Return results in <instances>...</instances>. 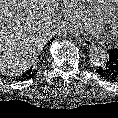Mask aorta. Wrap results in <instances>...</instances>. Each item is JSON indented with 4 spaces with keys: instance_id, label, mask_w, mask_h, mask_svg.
<instances>
[{
    "instance_id": "1",
    "label": "aorta",
    "mask_w": 118,
    "mask_h": 118,
    "mask_svg": "<svg viewBox=\"0 0 118 118\" xmlns=\"http://www.w3.org/2000/svg\"><path fill=\"white\" fill-rule=\"evenodd\" d=\"M108 58L107 51L100 46H92L89 50V59L92 64L101 66Z\"/></svg>"
}]
</instances>
